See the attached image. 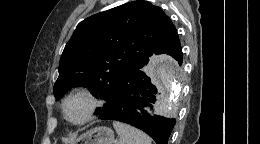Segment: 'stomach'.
I'll use <instances>...</instances> for the list:
<instances>
[{"label": "stomach", "instance_id": "0dacf381", "mask_svg": "<svg viewBox=\"0 0 260 144\" xmlns=\"http://www.w3.org/2000/svg\"><path fill=\"white\" fill-rule=\"evenodd\" d=\"M114 132L109 127H95L80 135L75 144H113Z\"/></svg>", "mask_w": 260, "mask_h": 144}]
</instances>
